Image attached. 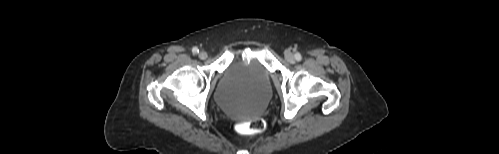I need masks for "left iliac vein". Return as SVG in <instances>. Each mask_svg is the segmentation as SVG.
Here are the masks:
<instances>
[{"label": "left iliac vein", "instance_id": "left-iliac-vein-1", "mask_svg": "<svg viewBox=\"0 0 499 154\" xmlns=\"http://www.w3.org/2000/svg\"><path fill=\"white\" fill-rule=\"evenodd\" d=\"M285 58L290 63H293L295 61V57H294V55L290 51H287L285 53Z\"/></svg>", "mask_w": 499, "mask_h": 154}]
</instances>
